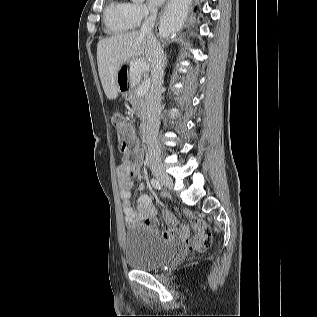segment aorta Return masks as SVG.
I'll use <instances>...</instances> for the list:
<instances>
[{"mask_svg":"<svg viewBox=\"0 0 317 317\" xmlns=\"http://www.w3.org/2000/svg\"><path fill=\"white\" fill-rule=\"evenodd\" d=\"M144 0H133V2H143ZM180 24V17L178 16V14L174 13L171 10H168L161 21V31L165 34H171L173 33Z\"/></svg>","mask_w":317,"mask_h":317,"instance_id":"762f6f07","label":"aorta"}]
</instances>
